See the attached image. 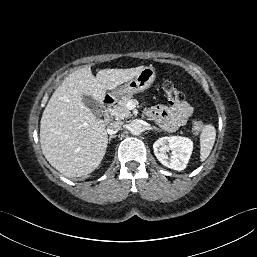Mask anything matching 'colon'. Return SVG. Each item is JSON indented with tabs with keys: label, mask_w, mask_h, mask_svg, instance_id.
I'll list each match as a JSON object with an SVG mask.
<instances>
[{
	"label": "colon",
	"mask_w": 257,
	"mask_h": 257,
	"mask_svg": "<svg viewBox=\"0 0 257 257\" xmlns=\"http://www.w3.org/2000/svg\"><path fill=\"white\" fill-rule=\"evenodd\" d=\"M163 93L166 99L170 102L178 103L183 99L181 91L170 82L164 84ZM194 128L196 130H201L203 128V123L199 121L195 122Z\"/></svg>",
	"instance_id": "colon-1"
}]
</instances>
